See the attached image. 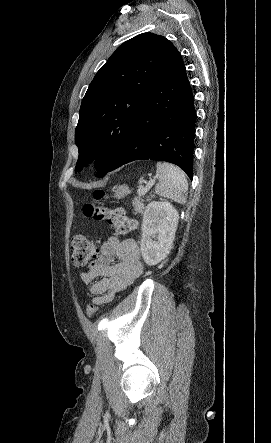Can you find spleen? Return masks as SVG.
Returning a JSON list of instances; mask_svg holds the SVG:
<instances>
[{
    "instance_id": "1",
    "label": "spleen",
    "mask_w": 271,
    "mask_h": 443,
    "mask_svg": "<svg viewBox=\"0 0 271 443\" xmlns=\"http://www.w3.org/2000/svg\"><path fill=\"white\" fill-rule=\"evenodd\" d=\"M156 168V178L159 180L155 186L156 194L174 200L178 204H185L188 184L184 172L172 164H162V162H158Z\"/></svg>"
}]
</instances>
